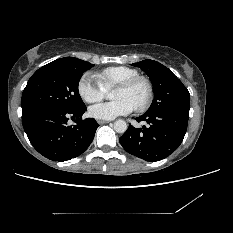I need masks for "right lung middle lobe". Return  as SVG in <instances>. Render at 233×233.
<instances>
[{"label":"right lung middle lobe","mask_w":233,"mask_h":233,"mask_svg":"<svg viewBox=\"0 0 233 233\" xmlns=\"http://www.w3.org/2000/svg\"><path fill=\"white\" fill-rule=\"evenodd\" d=\"M93 66L78 58L65 57L38 69L22 94V118L46 109L76 111L83 108L78 84L82 73Z\"/></svg>","instance_id":"obj_1"}]
</instances>
